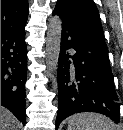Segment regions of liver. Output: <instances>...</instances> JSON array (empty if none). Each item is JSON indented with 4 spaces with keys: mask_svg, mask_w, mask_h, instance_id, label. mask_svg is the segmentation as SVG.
<instances>
[{
    "mask_svg": "<svg viewBox=\"0 0 123 130\" xmlns=\"http://www.w3.org/2000/svg\"><path fill=\"white\" fill-rule=\"evenodd\" d=\"M19 122L6 108L1 106V130H18Z\"/></svg>",
    "mask_w": 123,
    "mask_h": 130,
    "instance_id": "6515ba94",
    "label": "liver"
}]
</instances>
